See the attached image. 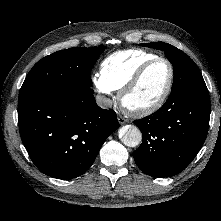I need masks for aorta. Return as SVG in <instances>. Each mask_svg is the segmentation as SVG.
I'll return each mask as SVG.
<instances>
[{"label":"aorta","instance_id":"aorta-1","mask_svg":"<svg viewBox=\"0 0 221 221\" xmlns=\"http://www.w3.org/2000/svg\"><path fill=\"white\" fill-rule=\"evenodd\" d=\"M120 138L125 146L136 147L142 141V134L138 127L128 125L120 130Z\"/></svg>","mask_w":221,"mask_h":221}]
</instances>
